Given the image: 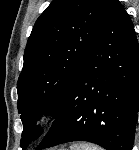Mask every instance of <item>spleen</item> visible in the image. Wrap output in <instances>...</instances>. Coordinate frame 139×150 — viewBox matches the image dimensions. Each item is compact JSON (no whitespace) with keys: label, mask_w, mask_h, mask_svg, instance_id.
<instances>
[{"label":"spleen","mask_w":139,"mask_h":150,"mask_svg":"<svg viewBox=\"0 0 139 150\" xmlns=\"http://www.w3.org/2000/svg\"><path fill=\"white\" fill-rule=\"evenodd\" d=\"M71 150H103V149L92 144L80 143V144L71 146Z\"/></svg>","instance_id":"1"}]
</instances>
